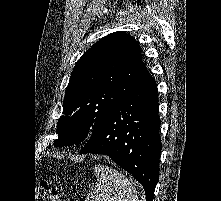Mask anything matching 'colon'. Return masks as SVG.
I'll list each match as a JSON object with an SVG mask.
<instances>
[{
    "label": "colon",
    "instance_id": "5ec220e1",
    "mask_svg": "<svg viewBox=\"0 0 221 201\" xmlns=\"http://www.w3.org/2000/svg\"><path fill=\"white\" fill-rule=\"evenodd\" d=\"M37 198L42 201H64L59 196L58 189L54 186H51L46 180L40 181L37 190Z\"/></svg>",
    "mask_w": 221,
    "mask_h": 201
}]
</instances>
